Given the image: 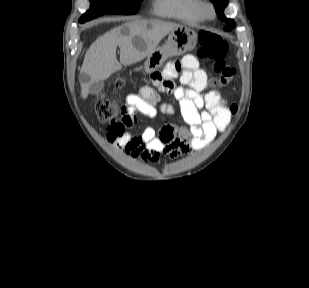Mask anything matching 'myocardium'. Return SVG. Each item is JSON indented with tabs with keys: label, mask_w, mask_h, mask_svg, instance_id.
Here are the masks:
<instances>
[{
	"label": "myocardium",
	"mask_w": 309,
	"mask_h": 288,
	"mask_svg": "<svg viewBox=\"0 0 309 288\" xmlns=\"http://www.w3.org/2000/svg\"><path fill=\"white\" fill-rule=\"evenodd\" d=\"M200 13L203 18L214 19L216 16L215 6L209 1L200 0Z\"/></svg>",
	"instance_id": "f54148a6"
}]
</instances>
